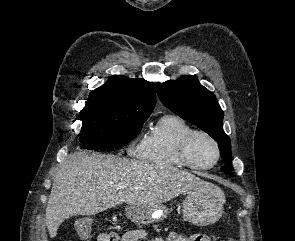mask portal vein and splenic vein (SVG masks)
<instances>
[{
    "mask_svg": "<svg viewBox=\"0 0 295 241\" xmlns=\"http://www.w3.org/2000/svg\"><path fill=\"white\" fill-rule=\"evenodd\" d=\"M117 188H118V189H123V188H126V185H124V184H119V185L117 186Z\"/></svg>",
    "mask_w": 295,
    "mask_h": 241,
    "instance_id": "portal-vein-and-splenic-vein-1",
    "label": "portal vein and splenic vein"
}]
</instances>
